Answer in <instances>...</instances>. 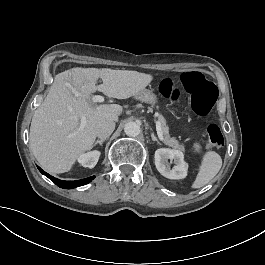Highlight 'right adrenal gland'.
Instances as JSON below:
<instances>
[{
    "label": "right adrenal gland",
    "instance_id": "1",
    "mask_svg": "<svg viewBox=\"0 0 265 265\" xmlns=\"http://www.w3.org/2000/svg\"><path fill=\"white\" fill-rule=\"evenodd\" d=\"M107 140L106 138H103V139H97L96 142L94 143V148H96V146L99 144V145H102L103 142Z\"/></svg>",
    "mask_w": 265,
    "mask_h": 265
}]
</instances>
